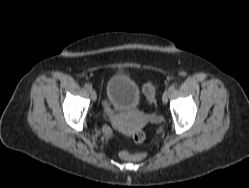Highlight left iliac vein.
I'll return each mask as SVG.
<instances>
[{"label": "left iliac vein", "mask_w": 249, "mask_h": 188, "mask_svg": "<svg viewBox=\"0 0 249 188\" xmlns=\"http://www.w3.org/2000/svg\"><path fill=\"white\" fill-rule=\"evenodd\" d=\"M169 94H170V90H169V89H166V90L164 91V93H163V96H162V102H163V104H167Z\"/></svg>", "instance_id": "obj_1"}]
</instances>
